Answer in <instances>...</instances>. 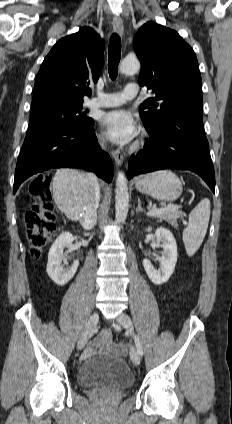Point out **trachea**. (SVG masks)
Returning a JSON list of instances; mask_svg holds the SVG:
<instances>
[{
  "instance_id": "trachea-1",
  "label": "trachea",
  "mask_w": 232,
  "mask_h": 424,
  "mask_svg": "<svg viewBox=\"0 0 232 424\" xmlns=\"http://www.w3.org/2000/svg\"><path fill=\"white\" fill-rule=\"evenodd\" d=\"M121 58V39L119 35L113 33L110 37L108 47V71L110 78L115 80L118 72V64Z\"/></svg>"
}]
</instances>
